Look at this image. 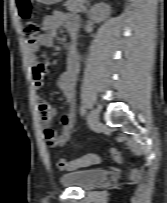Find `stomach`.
Masks as SVG:
<instances>
[{"label":"stomach","mask_w":167,"mask_h":203,"mask_svg":"<svg viewBox=\"0 0 167 203\" xmlns=\"http://www.w3.org/2000/svg\"><path fill=\"white\" fill-rule=\"evenodd\" d=\"M36 1L43 4L52 5L61 2L62 0H36Z\"/></svg>","instance_id":"obj_1"}]
</instances>
